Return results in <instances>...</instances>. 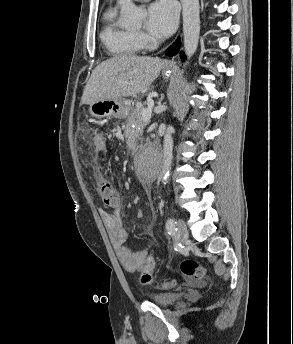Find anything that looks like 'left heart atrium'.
Masks as SVG:
<instances>
[{"instance_id":"1","label":"left heart atrium","mask_w":293,"mask_h":344,"mask_svg":"<svg viewBox=\"0 0 293 344\" xmlns=\"http://www.w3.org/2000/svg\"><path fill=\"white\" fill-rule=\"evenodd\" d=\"M177 22V9L171 0H159L148 7L146 29L151 35L157 38L169 37Z\"/></svg>"}]
</instances>
